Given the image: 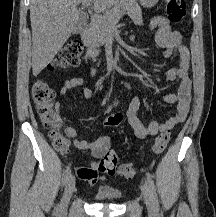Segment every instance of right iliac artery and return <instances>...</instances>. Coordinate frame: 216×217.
<instances>
[{"mask_svg":"<svg viewBox=\"0 0 216 217\" xmlns=\"http://www.w3.org/2000/svg\"><path fill=\"white\" fill-rule=\"evenodd\" d=\"M70 176H71V170H70V167H67V169L63 173L62 185L66 184V182H67V180L69 179ZM57 209H59V208L57 207Z\"/></svg>","mask_w":216,"mask_h":217,"instance_id":"obj_1","label":"right iliac artery"}]
</instances>
